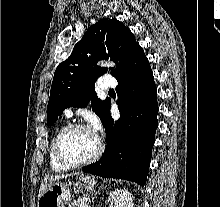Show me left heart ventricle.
Instances as JSON below:
<instances>
[{
	"label": "left heart ventricle",
	"instance_id": "left-heart-ventricle-1",
	"mask_svg": "<svg viewBox=\"0 0 220 207\" xmlns=\"http://www.w3.org/2000/svg\"><path fill=\"white\" fill-rule=\"evenodd\" d=\"M97 144V137L90 130L77 129L63 137L60 148L67 161L80 162L94 154Z\"/></svg>",
	"mask_w": 220,
	"mask_h": 207
}]
</instances>
